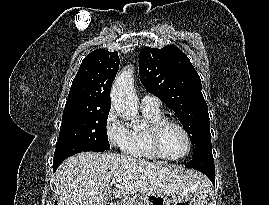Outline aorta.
Returning a JSON list of instances; mask_svg holds the SVG:
<instances>
[{
  "label": "aorta",
  "instance_id": "1",
  "mask_svg": "<svg viewBox=\"0 0 269 205\" xmlns=\"http://www.w3.org/2000/svg\"><path fill=\"white\" fill-rule=\"evenodd\" d=\"M133 72L123 70L113 84L111 101L115 112L130 125L136 127L138 120V99L133 91Z\"/></svg>",
  "mask_w": 269,
  "mask_h": 205
}]
</instances>
